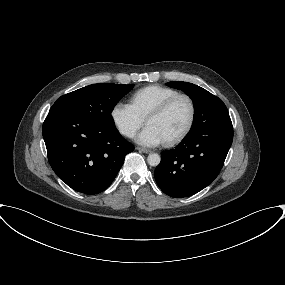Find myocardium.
I'll list each match as a JSON object with an SVG mask.
<instances>
[{
	"instance_id": "myocardium-1",
	"label": "myocardium",
	"mask_w": 285,
	"mask_h": 285,
	"mask_svg": "<svg viewBox=\"0 0 285 285\" xmlns=\"http://www.w3.org/2000/svg\"><path fill=\"white\" fill-rule=\"evenodd\" d=\"M179 99H185L188 102L189 107H190L189 119H188L186 126L182 129V131L180 133H178L173 138L164 141V144L166 146H172V145L179 143L191 131V129L194 125V122H195V118H196V104H195L193 98L188 94L178 93V94L168 98L163 103H161L159 106H157L155 109H153L145 118V123L147 124V122L150 119L161 116L162 114H164Z\"/></svg>"
}]
</instances>
